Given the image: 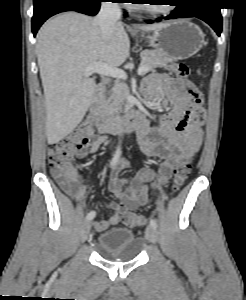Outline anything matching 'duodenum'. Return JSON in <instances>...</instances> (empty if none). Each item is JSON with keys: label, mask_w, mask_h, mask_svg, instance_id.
<instances>
[{"label": "duodenum", "mask_w": 246, "mask_h": 300, "mask_svg": "<svg viewBox=\"0 0 246 300\" xmlns=\"http://www.w3.org/2000/svg\"><path fill=\"white\" fill-rule=\"evenodd\" d=\"M104 85H100L96 91L90 106L89 113L100 133H122L124 131L138 130L145 120L138 108H131L121 116L110 118L104 111L101 102Z\"/></svg>", "instance_id": "410a0bca"}]
</instances>
